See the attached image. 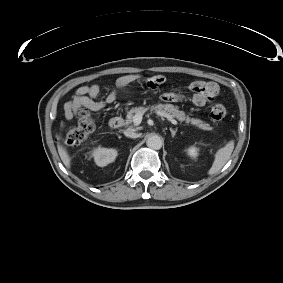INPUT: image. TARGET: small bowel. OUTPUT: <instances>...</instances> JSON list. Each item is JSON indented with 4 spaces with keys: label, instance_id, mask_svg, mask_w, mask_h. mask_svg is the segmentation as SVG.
<instances>
[{
    "label": "small bowel",
    "instance_id": "1",
    "mask_svg": "<svg viewBox=\"0 0 283 283\" xmlns=\"http://www.w3.org/2000/svg\"><path fill=\"white\" fill-rule=\"evenodd\" d=\"M142 76L139 74H126L117 79L115 85L110 89L104 99L98 100L100 93L98 84L80 86L72 99L64 105V115L67 120L75 117L81 108H87L93 111L103 109L105 106L112 104L117 99L118 91L140 82ZM164 82L162 76H154L147 83L151 86H159ZM192 103L195 106H203L212 101L219 92V85L216 82L196 81L191 84ZM164 102H175L181 100V96L176 93H165L162 95Z\"/></svg>",
    "mask_w": 283,
    "mask_h": 283
}]
</instances>
